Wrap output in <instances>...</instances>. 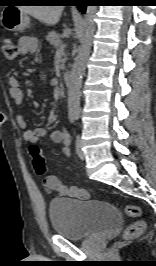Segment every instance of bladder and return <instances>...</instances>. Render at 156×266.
<instances>
[{
	"label": "bladder",
	"instance_id": "obj_1",
	"mask_svg": "<svg viewBox=\"0 0 156 266\" xmlns=\"http://www.w3.org/2000/svg\"><path fill=\"white\" fill-rule=\"evenodd\" d=\"M53 231L70 240H82L107 232L122 222L114 205L101 200L57 199L49 205Z\"/></svg>",
	"mask_w": 156,
	"mask_h": 266
}]
</instances>
